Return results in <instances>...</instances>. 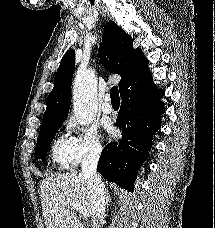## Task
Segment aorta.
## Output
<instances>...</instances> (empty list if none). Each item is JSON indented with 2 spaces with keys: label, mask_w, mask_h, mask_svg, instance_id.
<instances>
[{
  "label": "aorta",
  "mask_w": 215,
  "mask_h": 228,
  "mask_svg": "<svg viewBox=\"0 0 215 228\" xmlns=\"http://www.w3.org/2000/svg\"><path fill=\"white\" fill-rule=\"evenodd\" d=\"M74 114L78 124L90 126L97 114L96 78L77 74L73 90Z\"/></svg>",
  "instance_id": "1"
}]
</instances>
